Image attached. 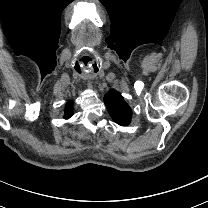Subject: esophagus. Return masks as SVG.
<instances>
[{"mask_svg":"<svg viewBox=\"0 0 208 208\" xmlns=\"http://www.w3.org/2000/svg\"><path fill=\"white\" fill-rule=\"evenodd\" d=\"M88 88L92 89L93 88L92 84L88 83Z\"/></svg>","mask_w":208,"mask_h":208,"instance_id":"34e87169","label":"esophagus"}]
</instances>
